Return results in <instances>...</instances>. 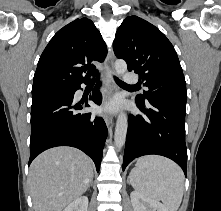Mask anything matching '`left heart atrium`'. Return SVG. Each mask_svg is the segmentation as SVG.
Here are the masks:
<instances>
[{
  "label": "left heart atrium",
  "mask_w": 221,
  "mask_h": 211,
  "mask_svg": "<svg viewBox=\"0 0 221 211\" xmlns=\"http://www.w3.org/2000/svg\"><path fill=\"white\" fill-rule=\"evenodd\" d=\"M118 107V102L116 100L111 101L107 105L104 106L105 110H116Z\"/></svg>",
  "instance_id": "1"
}]
</instances>
